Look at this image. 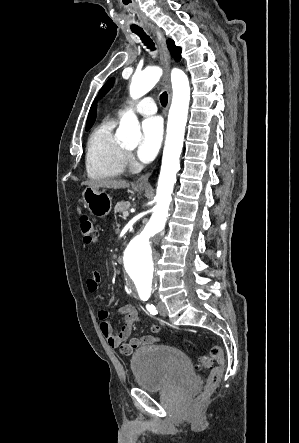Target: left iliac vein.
I'll use <instances>...</instances> for the list:
<instances>
[{
    "label": "left iliac vein",
    "mask_w": 299,
    "mask_h": 443,
    "mask_svg": "<svg viewBox=\"0 0 299 443\" xmlns=\"http://www.w3.org/2000/svg\"><path fill=\"white\" fill-rule=\"evenodd\" d=\"M157 307H158L159 313L162 316H167L168 311H167V308H166V306H165V304L163 302H159Z\"/></svg>",
    "instance_id": "4c4485c4"
}]
</instances>
